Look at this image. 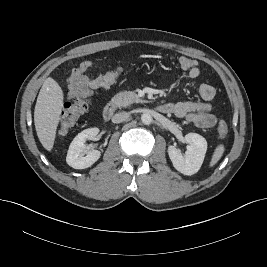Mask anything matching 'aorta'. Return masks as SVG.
I'll list each match as a JSON object with an SVG mask.
<instances>
[{"mask_svg":"<svg viewBox=\"0 0 267 267\" xmlns=\"http://www.w3.org/2000/svg\"><path fill=\"white\" fill-rule=\"evenodd\" d=\"M141 121H142L143 124L149 125V124L152 123L153 119H152V116L149 113H143L141 115Z\"/></svg>","mask_w":267,"mask_h":267,"instance_id":"aorta-1","label":"aorta"}]
</instances>
